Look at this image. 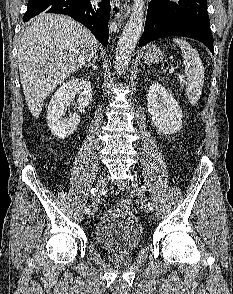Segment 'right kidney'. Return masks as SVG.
Listing matches in <instances>:
<instances>
[{
  "label": "right kidney",
  "mask_w": 233,
  "mask_h": 294,
  "mask_svg": "<svg viewBox=\"0 0 233 294\" xmlns=\"http://www.w3.org/2000/svg\"><path fill=\"white\" fill-rule=\"evenodd\" d=\"M80 108H86L92 101L91 82L87 79H70L64 83L52 96L47 111V124L52 134L64 139L71 135L80 122L77 113L70 114L68 119H63L66 107L73 102L75 95Z\"/></svg>",
  "instance_id": "ca27d5eb"
}]
</instances>
